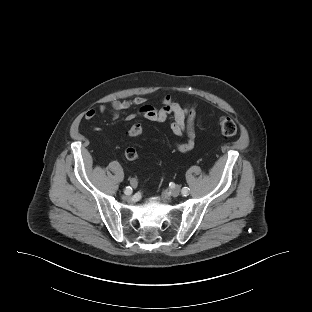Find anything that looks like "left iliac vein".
Returning <instances> with one entry per match:
<instances>
[{"label": "left iliac vein", "instance_id": "1", "mask_svg": "<svg viewBox=\"0 0 312 312\" xmlns=\"http://www.w3.org/2000/svg\"><path fill=\"white\" fill-rule=\"evenodd\" d=\"M171 196L177 197L180 194V188L178 186H175L170 191Z\"/></svg>", "mask_w": 312, "mask_h": 312}]
</instances>
